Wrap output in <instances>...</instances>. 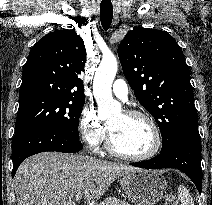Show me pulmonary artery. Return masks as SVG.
I'll return each instance as SVG.
<instances>
[{
	"instance_id": "pulmonary-artery-1",
	"label": "pulmonary artery",
	"mask_w": 212,
	"mask_h": 205,
	"mask_svg": "<svg viewBox=\"0 0 212 205\" xmlns=\"http://www.w3.org/2000/svg\"><path fill=\"white\" fill-rule=\"evenodd\" d=\"M113 93L121 98L126 99L128 95V86L122 79H117L112 86Z\"/></svg>"
}]
</instances>
